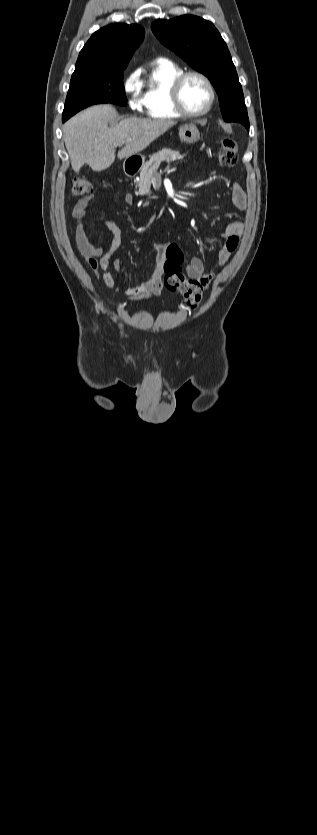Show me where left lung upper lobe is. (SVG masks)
<instances>
[{
    "instance_id": "obj_1",
    "label": "left lung upper lobe",
    "mask_w": 317,
    "mask_h": 835,
    "mask_svg": "<svg viewBox=\"0 0 317 835\" xmlns=\"http://www.w3.org/2000/svg\"><path fill=\"white\" fill-rule=\"evenodd\" d=\"M151 28L161 43L210 79L224 120L239 122L249 130L242 87L227 45L214 25L200 17L184 15L156 20Z\"/></svg>"
}]
</instances>
